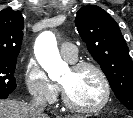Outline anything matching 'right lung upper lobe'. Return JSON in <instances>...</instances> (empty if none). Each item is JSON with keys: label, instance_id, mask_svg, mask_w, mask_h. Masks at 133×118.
Returning <instances> with one entry per match:
<instances>
[{"label": "right lung upper lobe", "instance_id": "1", "mask_svg": "<svg viewBox=\"0 0 133 118\" xmlns=\"http://www.w3.org/2000/svg\"><path fill=\"white\" fill-rule=\"evenodd\" d=\"M23 27L20 11H0V58L17 59L23 39Z\"/></svg>", "mask_w": 133, "mask_h": 118}]
</instances>
